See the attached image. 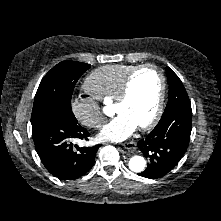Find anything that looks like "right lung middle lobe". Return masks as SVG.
<instances>
[{"label": "right lung middle lobe", "instance_id": "obj_1", "mask_svg": "<svg viewBox=\"0 0 221 221\" xmlns=\"http://www.w3.org/2000/svg\"><path fill=\"white\" fill-rule=\"evenodd\" d=\"M89 68V64L76 61H63L54 66L43 77L36 92L32 125L54 115L76 120L71 98L78 79Z\"/></svg>", "mask_w": 221, "mask_h": 221}]
</instances>
